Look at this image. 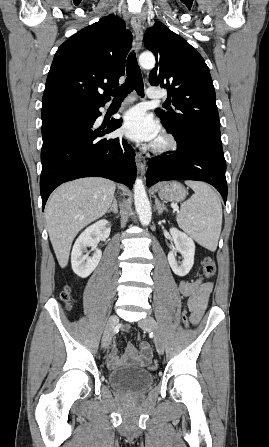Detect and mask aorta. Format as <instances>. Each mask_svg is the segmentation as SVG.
<instances>
[{
	"instance_id": "obj_1",
	"label": "aorta",
	"mask_w": 269,
	"mask_h": 447,
	"mask_svg": "<svg viewBox=\"0 0 269 447\" xmlns=\"http://www.w3.org/2000/svg\"><path fill=\"white\" fill-rule=\"evenodd\" d=\"M139 64L144 70H152L155 66V58L153 54H151V52H143V54L139 56ZM134 202L141 224L149 225L152 212L142 180H136L134 184Z\"/></svg>"
}]
</instances>
